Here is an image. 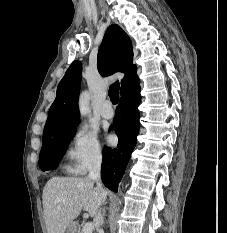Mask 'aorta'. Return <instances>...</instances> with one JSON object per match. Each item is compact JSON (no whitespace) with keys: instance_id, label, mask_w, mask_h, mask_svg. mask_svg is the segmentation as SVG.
Wrapping results in <instances>:
<instances>
[{"instance_id":"obj_1","label":"aorta","mask_w":227,"mask_h":233,"mask_svg":"<svg viewBox=\"0 0 227 233\" xmlns=\"http://www.w3.org/2000/svg\"><path fill=\"white\" fill-rule=\"evenodd\" d=\"M79 107L81 115H86L89 112V94L87 92L81 93Z\"/></svg>"}]
</instances>
